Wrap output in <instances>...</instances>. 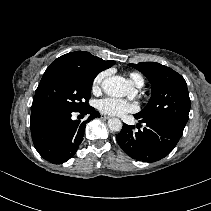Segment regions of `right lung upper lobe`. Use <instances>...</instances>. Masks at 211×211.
I'll return each mask as SVG.
<instances>
[{
  "instance_id": "1",
  "label": "right lung upper lobe",
  "mask_w": 211,
  "mask_h": 211,
  "mask_svg": "<svg viewBox=\"0 0 211 211\" xmlns=\"http://www.w3.org/2000/svg\"><path fill=\"white\" fill-rule=\"evenodd\" d=\"M55 64L76 66L81 69L95 70L99 73L113 66L115 61H104L88 52L76 51L57 58L51 65Z\"/></svg>"
}]
</instances>
